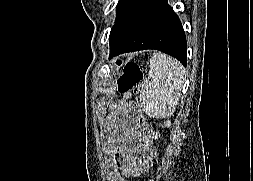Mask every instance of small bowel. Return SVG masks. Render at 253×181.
I'll use <instances>...</instances> for the list:
<instances>
[{
	"mask_svg": "<svg viewBox=\"0 0 253 181\" xmlns=\"http://www.w3.org/2000/svg\"><path fill=\"white\" fill-rule=\"evenodd\" d=\"M113 127L118 128L119 124L114 123ZM116 138L122 142L119 152L124 155L122 168L125 175L137 176L150 166L156 152L145 129L132 136L118 132Z\"/></svg>",
	"mask_w": 253,
	"mask_h": 181,
	"instance_id": "obj_1",
	"label": "small bowel"
}]
</instances>
